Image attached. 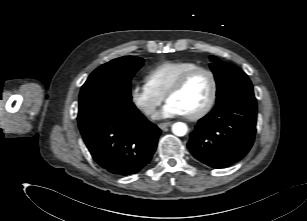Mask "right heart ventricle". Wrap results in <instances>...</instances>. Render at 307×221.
<instances>
[{
	"label": "right heart ventricle",
	"mask_w": 307,
	"mask_h": 221,
	"mask_svg": "<svg viewBox=\"0 0 307 221\" xmlns=\"http://www.w3.org/2000/svg\"><path fill=\"white\" fill-rule=\"evenodd\" d=\"M196 67L199 65L192 61H165L146 74L145 83L156 94L165 97L167 91L181 75Z\"/></svg>",
	"instance_id": "right-heart-ventricle-1"
}]
</instances>
